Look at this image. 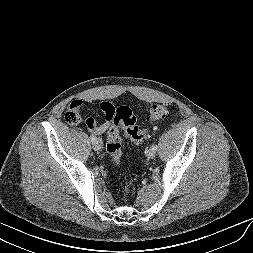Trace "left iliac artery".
I'll return each mask as SVG.
<instances>
[{
    "label": "left iliac artery",
    "instance_id": "44dca946",
    "mask_svg": "<svg viewBox=\"0 0 253 253\" xmlns=\"http://www.w3.org/2000/svg\"><path fill=\"white\" fill-rule=\"evenodd\" d=\"M153 150H157V145H152L151 147Z\"/></svg>",
    "mask_w": 253,
    "mask_h": 253
}]
</instances>
